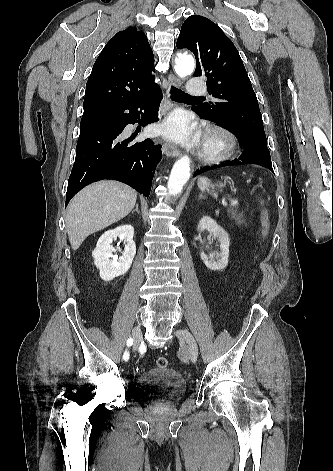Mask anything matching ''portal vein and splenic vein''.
I'll list each match as a JSON object with an SVG mask.
<instances>
[{
	"mask_svg": "<svg viewBox=\"0 0 333 471\" xmlns=\"http://www.w3.org/2000/svg\"><path fill=\"white\" fill-rule=\"evenodd\" d=\"M237 205H238V200L232 199V200L230 201V206H237Z\"/></svg>",
	"mask_w": 333,
	"mask_h": 471,
	"instance_id": "1",
	"label": "portal vein and splenic vein"
}]
</instances>
